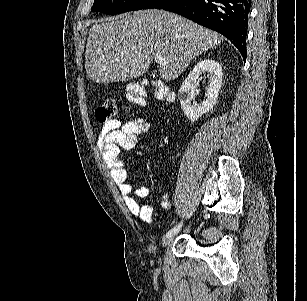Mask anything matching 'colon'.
<instances>
[{"mask_svg": "<svg viewBox=\"0 0 307 301\" xmlns=\"http://www.w3.org/2000/svg\"><path fill=\"white\" fill-rule=\"evenodd\" d=\"M151 85L154 89L155 96L160 101H169L173 98V94L169 87L161 81H152L150 83L143 81L131 82L127 86V99L129 102L144 106L146 102L147 88ZM117 114L116 103L112 99L104 101L95 110L96 119L101 123L114 120ZM157 217V215H156Z\"/></svg>", "mask_w": 307, "mask_h": 301, "instance_id": "colon-1", "label": "colon"}]
</instances>
